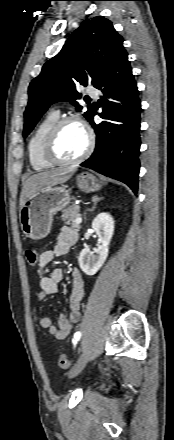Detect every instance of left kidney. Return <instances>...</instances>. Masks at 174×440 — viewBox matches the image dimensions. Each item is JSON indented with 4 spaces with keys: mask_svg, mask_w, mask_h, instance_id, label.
<instances>
[{
    "mask_svg": "<svg viewBox=\"0 0 174 440\" xmlns=\"http://www.w3.org/2000/svg\"><path fill=\"white\" fill-rule=\"evenodd\" d=\"M114 224L115 222L109 213H100L93 220L92 229L98 235L101 245L95 251L86 248L81 251L78 258L79 266L86 275L96 274L104 264L109 253Z\"/></svg>",
    "mask_w": 174,
    "mask_h": 440,
    "instance_id": "left-kidney-1",
    "label": "left kidney"
}]
</instances>
